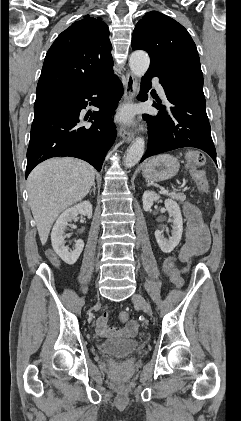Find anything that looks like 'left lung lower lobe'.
Listing matches in <instances>:
<instances>
[{"instance_id":"0a47b994","label":"left lung lower lobe","mask_w":241,"mask_h":421,"mask_svg":"<svg viewBox=\"0 0 241 421\" xmlns=\"http://www.w3.org/2000/svg\"><path fill=\"white\" fill-rule=\"evenodd\" d=\"M158 77L168 100L165 106L160 102L153 106L160 110L158 115L144 114L149 126L146 158L181 147H195L208 153L216 162V150L210 133L206 114L203 84L194 80L173 78L161 70L149 68L142 78L141 87L144 101L151 88V78Z\"/></svg>"}]
</instances>
